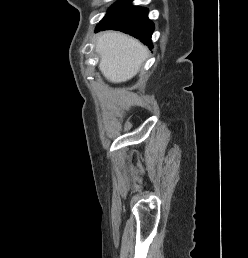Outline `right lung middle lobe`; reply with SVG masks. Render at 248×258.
Returning <instances> with one entry per match:
<instances>
[{"mask_svg":"<svg viewBox=\"0 0 248 258\" xmlns=\"http://www.w3.org/2000/svg\"><path fill=\"white\" fill-rule=\"evenodd\" d=\"M119 2H120V1L116 2L115 4H113V5L111 6V8L109 9V11H110L111 9H113Z\"/></svg>","mask_w":248,"mask_h":258,"instance_id":"1","label":"right lung middle lobe"}]
</instances>
